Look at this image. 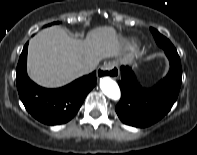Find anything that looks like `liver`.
<instances>
[{
  "instance_id": "6515ba94",
  "label": "liver",
  "mask_w": 197,
  "mask_h": 155,
  "mask_svg": "<svg viewBox=\"0 0 197 155\" xmlns=\"http://www.w3.org/2000/svg\"><path fill=\"white\" fill-rule=\"evenodd\" d=\"M120 40L112 27L91 30L85 40L71 38L63 28L52 26L29 42L28 74L37 84L60 87L83 75L84 65L118 55Z\"/></svg>"
}]
</instances>
